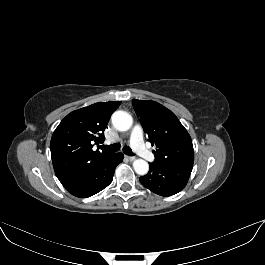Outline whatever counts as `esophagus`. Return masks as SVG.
I'll return each mask as SVG.
<instances>
[{
	"mask_svg": "<svg viewBox=\"0 0 265 265\" xmlns=\"http://www.w3.org/2000/svg\"><path fill=\"white\" fill-rule=\"evenodd\" d=\"M127 158H128L129 161H134V160L136 159V158L133 157V156H127Z\"/></svg>",
	"mask_w": 265,
	"mask_h": 265,
	"instance_id": "1",
	"label": "esophagus"
}]
</instances>
